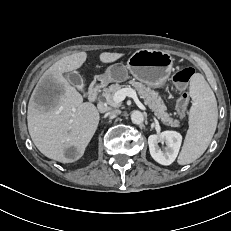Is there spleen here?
Listing matches in <instances>:
<instances>
[{
	"mask_svg": "<svg viewBox=\"0 0 231 231\" xmlns=\"http://www.w3.org/2000/svg\"><path fill=\"white\" fill-rule=\"evenodd\" d=\"M192 106L187 131L178 164H190L203 155L215 133L218 109L215 95L203 75L196 73L190 81Z\"/></svg>",
	"mask_w": 231,
	"mask_h": 231,
	"instance_id": "3e777b00",
	"label": "spleen"
}]
</instances>
